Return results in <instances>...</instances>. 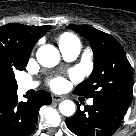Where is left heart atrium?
<instances>
[{"mask_svg":"<svg viewBox=\"0 0 136 136\" xmlns=\"http://www.w3.org/2000/svg\"><path fill=\"white\" fill-rule=\"evenodd\" d=\"M50 85L53 89L60 90L67 85V82L64 78L57 77L51 80Z\"/></svg>","mask_w":136,"mask_h":136,"instance_id":"1","label":"left heart atrium"}]
</instances>
